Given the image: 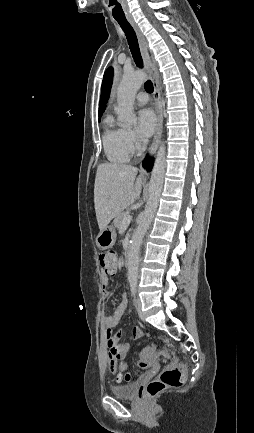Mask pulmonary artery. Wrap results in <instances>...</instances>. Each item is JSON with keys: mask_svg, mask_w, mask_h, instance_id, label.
<instances>
[{"mask_svg": "<svg viewBox=\"0 0 254 433\" xmlns=\"http://www.w3.org/2000/svg\"><path fill=\"white\" fill-rule=\"evenodd\" d=\"M149 100V96L146 92H140L136 95V101L138 105H145Z\"/></svg>", "mask_w": 254, "mask_h": 433, "instance_id": "e3ab8cb5", "label": "pulmonary artery"}]
</instances>
